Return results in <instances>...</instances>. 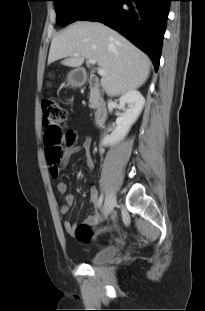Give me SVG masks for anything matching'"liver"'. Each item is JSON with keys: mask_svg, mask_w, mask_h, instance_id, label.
<instances>
[{"mask_svg": "<svg viewBox=\"0 0 205 311\" xmlns=\"http://www.w3.org/2000/svg\"><path fill=\"white\" fill-rule=\"evenodd\" d=\"M76 53L78 56H73ZM67 58L63 64L80 67L94 59L105 75L101 85L111 96L139 88L147 80L148 57L118 32L99 22L77 21L53 38L48 64Z\"/></svg>", "mask_w": 205, "mask_h": 311, "instance_id": "liver-1", "label": "liver"}]
</instances>
